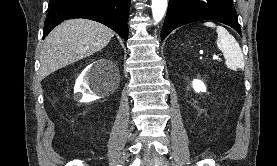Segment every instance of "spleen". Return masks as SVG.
Listing matches in <instances>:
<instances>
[{
    "instance_id": "1",
    "label": "spleen",
    "mask_w": 277,
    "mask_h": 166,
    "mask_svg": "<svg viewBox=\"0 0 277 166\" xmlns=\"http://www.w3.org/2000/svg\"><path fill=\"white\" fill-rule=\"evenodd\" d=\"M205 26L216 28L218 34L217 47L223 52L225 64L231 70L244 68V57L236 39L222 26H216L213 22H205Z\"/></svg>"
}]
</instances>
